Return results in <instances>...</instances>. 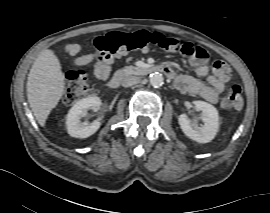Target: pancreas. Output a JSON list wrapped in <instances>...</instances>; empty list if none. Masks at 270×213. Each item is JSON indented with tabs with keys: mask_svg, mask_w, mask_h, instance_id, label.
<instances>
[{
	"mask_svg": "<svg viewBox=\"0 0 270 213\" xmlns=\"http://www.w3.org/2000/svg\"><path fill=\"white\" fill-rule=\"evenodd\" d=\"M140 70H141L140 68L135 67V66H125L123 69L118 71V74L121 76L139 74Z\"/></svg>",
	"mask_w": 270,
	"mask_h": 213,
	"instance_id": "1",
	"label": "pancreas"
}]
</instances>
